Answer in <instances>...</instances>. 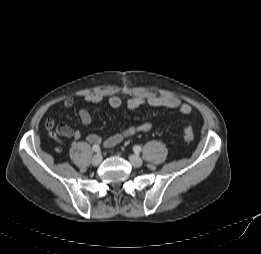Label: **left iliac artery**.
I'll return each mask as SVG.
<instances>
[{"mask_svg": "<svg viewBox=\"0 0 261 254\" xmlns=\"http://www.w3.org/2000/svg\"><path fill=\"white\" fill-rule=\"evenodd\" d=\"M133 150L136 152V153H140L141 152V147L140 146H134Z\"/></svg>", "mask_w": 261, "mask_h": 254, "instance_id": "1", "label": "left iliac artery"}]
</instances>
